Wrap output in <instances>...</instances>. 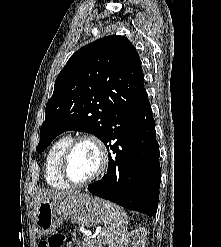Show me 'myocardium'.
Listing matches in <instances>:
<instances>
[{"label": "myocardium", "instance_id": "myocardium-1", "mask_svg": "<svg viewBox=\"0 0 221 247\" xmlns=\"http://www.w3.org/2000/svg\"><path fill=\"white\" fill-rule=\"evenodd\" d=\"M82 142H89L96 147L99 155V166L96 172L91 177H89L84 181L77 182L70 177L68 171V165L73 150L78 144ZM109 162H110V154L106 144L98 136L92 133H82L72 138L69 145L67 146L61 160L60 173L63 179L69 185H73L76 187L85 186L101 178L108 169Z\"/></svg>", "mask_w": 221, "mask_h": 247}]
</instances>
